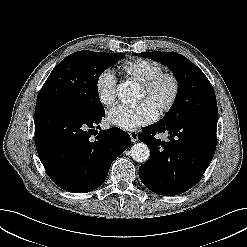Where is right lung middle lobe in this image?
I'll return each instance as SVG.
<instances>
[{
	"label": "right lung middle lobe",
	"mask_w": 247,
	"mask_h": 247,
	"mask_svg": "<svg viewBox=\"0 0 247 247\" xmlns=\"http://www.w3.org/2000/svg\"><path fill=\"white\" fill-rule=\"evenodd\" d=\"M123 57V53L93 51H78L67 56L49 75L37 101L56 99L86 114L103 113L97 88L99 76Z\"/></svg>",
	"instance_id": "dd1d6c3e"
}]
</instances>
